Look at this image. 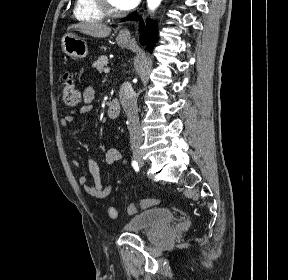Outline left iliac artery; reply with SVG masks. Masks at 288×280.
Instances as JSON below:
<instances>
[{"label":"left iliac artery","mask_w":288,"mask_h":280,"mask_svg":"<svg viewBox=\"0 0 288 280\" xmlns=\"http://www.w3.org/2000/svg\"><path fill=\"white\" fill-rule=\"evenodd\" d=\"M132 166H133V168L135 169V171H138V170H139V166H138L137 161L133 160V161H132Z\"/></svg>","instance_id":"1"}]
</instances>
